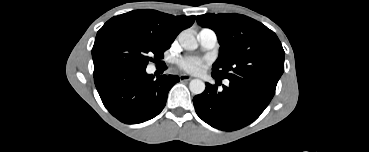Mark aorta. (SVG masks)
Listing matches in <instances>:
<instances>
[{
	"label": "aorta",
	"mask_w": 369,
	"mask_h": 152,
	"mask_svg": "<svg viewBox=\"0 0 369 152\" xmlns=\"http://www.w3.org/2000/svg\"><path fill=\"white\" fill-rule=\"evenodd\" d=\"M180 45L188 51L195 50L198 47V43L193 34L189 32H181L178 36ZM189 89L194 95H198L204 92L205 83L200 79H193L189 83Z\"/></svg>",
	"instance_id": "obj_1"
}]
</instances>
